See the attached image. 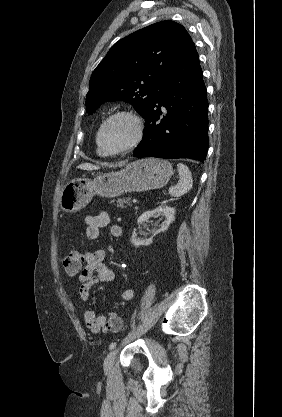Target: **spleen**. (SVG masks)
<instances>
[{
  "mask_svg": "<svg viewBox=\"0 0 282 417\" xmlns=\"http://www.w3.org/2000/svg\"><path fill=\"white\" fill-rule=\"evenodd\" d=\"M177 168L180 180H178L175 186H170L169 194H171V196H182V194H185V192H188V190L192 188L193 184L192 174L188 166L183 164V162H178Z\"/></svg>",
  "mask_w": 282,
  "mask_h": 417,
  "instance_id": "spleen-1",
  "label": "spleen"
}]
</instances>
